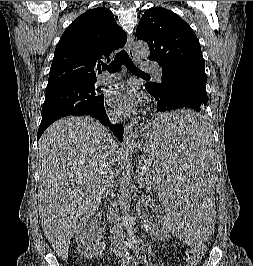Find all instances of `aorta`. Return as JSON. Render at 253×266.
I'll return each mask as SVG.
<instances>
[{"instance_id":"762f6f07","label":"aorta","mask_w":253,"mask_h":266,"mask_svg":"<svg viewBox=\"0 0 253 266\" xmlns=\"http://www.w3.org/2000/svg\"><path fill=\"white\" fill-rule=\"evenodd\" d=\"M133 50L136 58L147 59L150 55V48L143 41L136 42ZM133 190L134 184L131 173L127 169L123 170L118 187V203L124 215L129 211Z\"/></svg>"}]
</instances>
